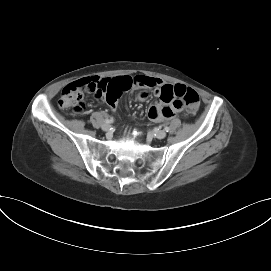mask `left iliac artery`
Wrapping results in <instances>:
<instances>
[{
    "mask_svg": "<svg viewBox=\"0 0 271 271\" xmlns=\"http://www.w3.org/2000/svg\"><path fill=\"white\" fill-rule=\"evenodd\" d=\"M164 130H165L166 132H168V131L170 130V128L166 126V127L164 128Z\"/></svg>",
    "mask_w": 271,
    "mask_h": 271,
    "instance_id": "left-iliac-artery-1",
    "label": "left iliac artery"
}]
</instances>
